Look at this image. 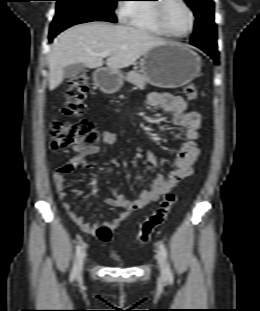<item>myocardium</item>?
Here are the masks:
<instances>
[{
	"label": "myocardium",
	"instance_id": "myocardium-1",
	"mask_svg": "<svg viewBox=\"0 0 260 311\" xmlns=\"http://www.w3.org/2000/svg\"><path fill=\"white\" fill-rule=\"evenodd\" d=\"M188 11L189 15H190V27L189 29L183 33V34H175L173 32H171L164 21V8L165 5L167 3V0H157L155 4H153V15H154V19L156 21V24L158 25V27L160 28V30L167 36L172 37V38H184L186 36H188L194 29L195 26V13L193 11V9L191 8V6L188 4V2L186 0H178Z\"/></svg>",
	"mask_w": 260,
	"mask_h": 311
}]
</instances>
